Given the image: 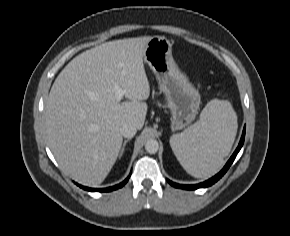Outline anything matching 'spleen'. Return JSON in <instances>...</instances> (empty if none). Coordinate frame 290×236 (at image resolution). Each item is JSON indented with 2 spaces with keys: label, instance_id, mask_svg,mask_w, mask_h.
Returning <instances> with one entry per match:
<instances>
[{
  "label": "spleen",
  "instance_id": "obj_1",
  "mask_svg": "<svg viewBox=\"0 0 290 236\" xmlns=\"http://www.w3.org/2000/svg\"><path fill=\"white\" fill-rule=\"evenodd\" d=\"M237 115L228 100L207 103L200 119L189 129L170 138L181 166L193 177L207 178L224 164L237 133Z\"/></svg>",
  "mask_w": 290,
  "mask_h": 236
}]
</instances>
